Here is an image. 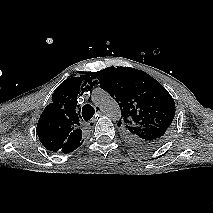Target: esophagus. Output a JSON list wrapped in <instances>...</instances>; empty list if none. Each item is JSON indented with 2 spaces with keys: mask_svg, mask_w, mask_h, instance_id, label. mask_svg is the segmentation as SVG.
<instances>
[{
  "mask_svg": "<svg viewBox=\"0 0 213 213\" xmlns=\"http://www.w3.org/2000/svg\"><path fill=\"white\" fill-rule=\"evenodd\" d=\"M96 109H97V112H96L95 118H93V119L89 122V125H91V126L96 122L97 118H98L99 116H102L103 113H104V112H103V109H102L101 107H97Z\"/></svg>",
  "mask_w": 213,
  "mask_h": 213,
  "instance_id": "obj_1",
  "label": "esophagus"
}]
</instances>
